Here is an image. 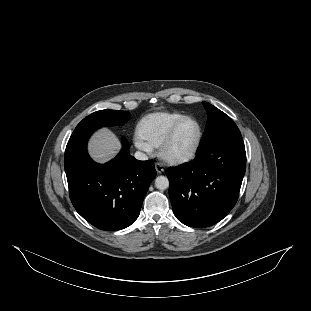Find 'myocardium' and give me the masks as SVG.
Listing matches in <instances>:
<instances>
[{"label": "myocardium", "mask_w": 311, "mask_h": 311, "mask_svg": "<svg viewBox=\"0 0 311 311\" xmlns=\"http://www.w3.org/2000/svg\"><path fill=\"white\" fill-rule=\"evenodd\" d=\"M188 121L196 122L197 127H198V133H197L195 144L192 147V149L186 153H175L172 151V147L174 145L177 133L179 129L181 128V126ZM202 138H203V129H202V124L200 123V121L195 117L187 116L179 120L174 125V127L171 129L167 137L159 145V151H158L159 156L161 157L162 160H164L165 162L171 165H177V164L188 162L191 159H193L198 153L201 143H202Z\"/></svg>", "instance_id": "f54148a6"}]
</instances>
